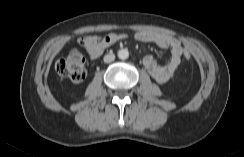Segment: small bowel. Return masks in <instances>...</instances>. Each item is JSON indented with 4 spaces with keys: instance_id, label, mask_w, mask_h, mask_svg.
<instances>
[{
    "instance_id": "obj_1",
    "label": "small bowel",
    "mask_w": 244,
    "mask_h": 157,
    "mask_svg": "<svg viewBox=\"0 0 244 157\" xmlns=\"http://www.w3.org/2000/svg\"><path fill=\"white\" fill-rule=\"evenodd\" d=\"M113 35H115L117 38L115 42L126 37L125 34L121 33H113ZM134 38L137 41L153 43L160 48L169 50L170 57L165 64L159 63L151 55H147L143 59L144 66L155 81L161 84L168 82L175 75L181 63L183 48L180 42L169 35L154 31L137 32L135 33ZM78 42L82 47H84L92 59L100 57L104 50L108 47L101 46L99 43H97L95 36H82L79 38Z\"/></svg>"
}]
</instances>
